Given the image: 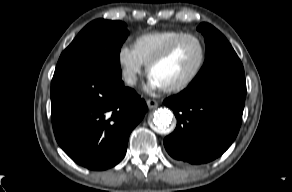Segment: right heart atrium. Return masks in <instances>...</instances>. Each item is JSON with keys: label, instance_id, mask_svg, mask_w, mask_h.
<instances>
[{"label": "right heart atrium", "instance_id": "obj_1", "mask_svg": "<svg viewBox=\"0 0 292 192\" xmlns=\"http://www.w3.org/2000/svg\"><path fill=\"white\" fill-rule=\"evenodd\" d=\"M117 62L124 82L129 86H134L144 67L134 47L127 44L121 45L117 51Z\"/></svg>", "mask_w": 292, "mask_h": 192}]
</instances>
